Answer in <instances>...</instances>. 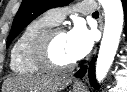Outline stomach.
I'll return each mask as SVG.
<instances>
[{"mask_svg":"<svg viewBox=\"0 0 127 92\" xmlns=\"http://www.w3.org/2000/svg\"><path fill=\"white\" fill-rule=\"evenodd\" d=\"M74 92H86L84 88H74Z\"/></svg>","mask_w":127,"mask_h":92,"instance_id":"obj_1","label":"stomach"}]
</instances>
